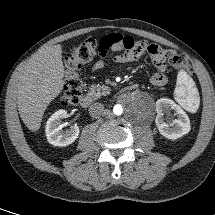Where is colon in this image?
Segmentation results:
<instances>
[{"label":"colon","mask_w":215,"mask_h":215,"mask_svg":"<svg viewBox=\"0 0 215 215\" xmlns=\"http://www.w3.org/2000/svg\"><path fill=\"white\" fill-rule=\"evenodd\" d=\"M100 42L90 37L78 44L65 58V86L61 95L63 105L77 104L83 95L82 66L89 62L100 50ZM168 61L176 68L188 70V61L182 54L169 50Z\"/></svg>","instance_id":"5ec220e1"}]
</instances>
